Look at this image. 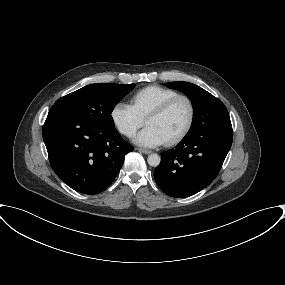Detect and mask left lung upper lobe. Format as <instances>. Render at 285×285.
Masks as SVG:
<instances>
[{
  "label": "left lung upper lobe",
  "instance_id": "5c2ea615",
  "mask_svg": "<svg viewBox=\"0 0 285 285\" xmlns=\"http://www.w3.org/2000/svg\"><path fill=\"white\" fill-rule=\"evenodd\" d=\"M165 85L183 92L192 102L194 114L188 135L208 129H232L225 105L206 90L188 82H169Z\"/></svg>",
  "mask_w": 285,
  "mask_h": 285
}]
</instances>
